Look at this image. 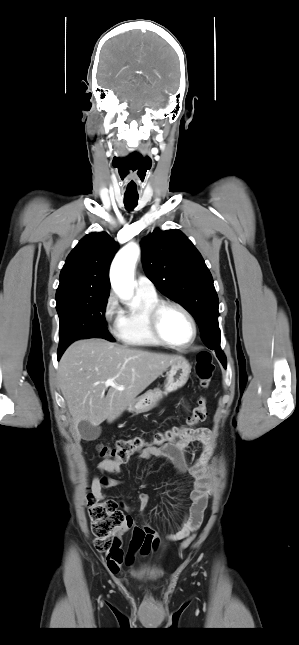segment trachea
Wrapping results in <instances>:
<instances>
[{"label": "trachea", "instance_id": "trachea-1", "mask_svg": "<svg viewBox=\"0 0 299 645\" xmlns=\"http://www.w3.org/2000/svg\"><path fill=\"white\" fill-rule=\"evenodd\" d=\"M138 204V196H124V205L128 211H132Z\"/></svg>", "mask_w": 299, "mask_h": 645}]
</instances>
